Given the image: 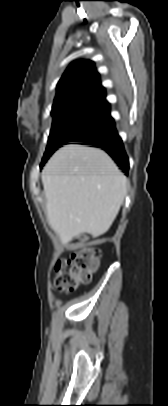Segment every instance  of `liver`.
<instances>
[{
	"instance_id": "obj_1",
	"label": "liver",
	"mask_w": 168,
	"mask_h": 406,
	"mask_svg": "<svg viewBox=\"0 0 168 406\" xmlns=\"http://www.w3.org/2000/svg\"><path fill=\"white\" fill-rule=\"evenodd\" d=\"M42 182L48 223L63 244L106 233L127 191L126 177L103 150L75 144L54 153Z\"/></svg>"
}]
</instances>
